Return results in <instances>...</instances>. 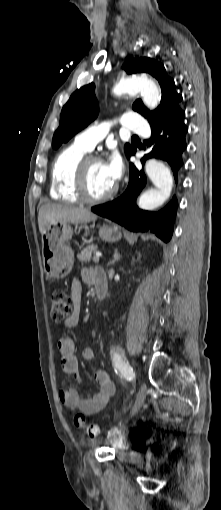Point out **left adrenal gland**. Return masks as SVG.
I'll return each instance as SVG.
<instances>
[{
	"label": "left adrenal gland",
	"mask_w": 221,
	"mask_h": 510,
	"mask_svg": "<svg viewBox=\"0 0 221 510\" xmlns=\"http://www.w3.org/2000/svg\"><path fill=\"white\" fill-rule=\"evenodd\" d=\"M121 258V255L118 253V250L116 249L114 251L113 259L108 263V266L113 265L116 261H118Z\"/></svg>",
	"instance_id": "a2214340"
}]
</instances>
